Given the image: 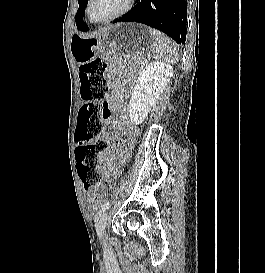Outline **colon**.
Instances as JSON below:
<instances>
[{
  "label": "colon",
  "mask_w": 265,
  "mask_h": 273,
  "mask_svg": "<svg viewBox=\"0 0 265 273\" xmlns=\"http://www.w3.org/2000/svg\"><path fill=\"white\" fill-rule=\"evenodd\" d=\"M106 64L101 60H89L80 66V95L82 105L79 110L75 139L76 168L86 190L88 203L96 204L99 189L103 183V173L98 168V154L108 147V141L98 138L103 123L110 116V108L105 101L110 86L105 78Z\"/></svg>",
  "instance_id": "5ec220e1"
}]
</instances>
